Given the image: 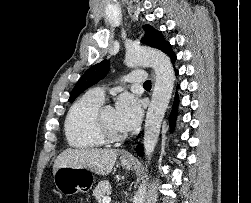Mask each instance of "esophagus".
<instances>
[{
	"mask_svg": "<svg viewBox=\"0 0 251 203\" xmlns=\"http://www.w3.org/2000/svg\"><path fill=\"white\" fill-rule=\"evenodd\" d=\"M151 76L154 78V73L151 71ZM125 158H128L129 156L127 154L124 155Z\"/></svg>",
	"mask_w": 251,
	"mask_h": 203,
	"instance_id": "1",
	"label": "esophagus"
}]
</instances>
